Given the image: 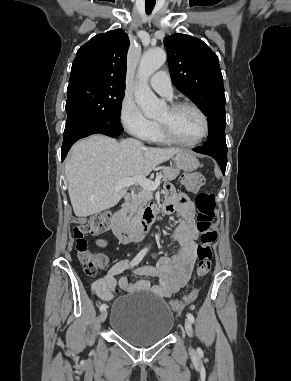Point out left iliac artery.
<instances>
[{
    "label": "left iliac artery",
    "instance_id": "left-iliac-artery-1",
    "mask_svg": "<svg viewBox=\"0 0 291 381\" xmlns=\"http://www.w3.org/2000/svg\"><path fill=\"white\" fill-rule=\"evenodd\" d=\"M187 318H188V320L191 322V323H193L194 322V316L191 314V313H188L187 314Z\"/></svg>",
    "mask_w": 291,
    "mask_h": 381
}]
</instances>
